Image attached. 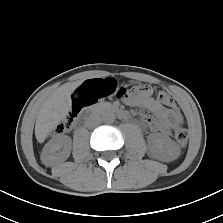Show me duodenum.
Segmentation results:
<instances>
[{
	"mask_svg": "<svg viewBox=\"0 0 223 223\" xmlns=\"http://www.w3.org/2000/svg\"><path fill=\"white\" fill-rule=\"evenodd\" d=\"M97 110H112L119 117H121V118H127L126 112L123 109H121L118 105H114V104L113 105H102V106L98 107ZM91 115L90 116H87L85 118L79 119L78 122H77V124H76V126L77 127L83 126L90 119Z\"/></svg>",
	"mask_w": 223,
	"mask_h": 223,
	"instance_id": "duodenum-1",
	"label": "duodenum"
}]
</instances>
